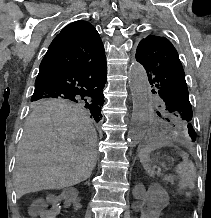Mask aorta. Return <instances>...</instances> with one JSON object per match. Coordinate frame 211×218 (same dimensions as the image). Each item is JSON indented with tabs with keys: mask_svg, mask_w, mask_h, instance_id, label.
<instances>
[{
	"mask_svg": "<svg viewBox=\"0 0 211 218\" xmlns=\"http://www.w3.org/2000/svg\"><path fill=\"white\" fill-rule=\"evenodd\" d=\"M129 87L133 108L127 140L130 146H136L144 137L149 120L148 77L143 66L138 63H133L129 68Z\"/></svg>",
	"mask_w": 211,
	"mask_h": 218,
	"instance_id": "1",
	"label": "aorta"
}]
</instances>
